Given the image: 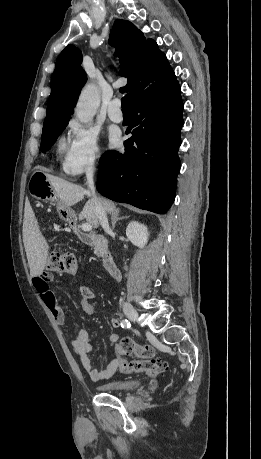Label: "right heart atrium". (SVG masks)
<instances>
[{"instance_id":"obj_1","label":"right heart atrium","mask_w":261,"mask_h":459,"mask_svg":"<svg viewBox=\"0 0 261 459\" xmlns=\"http://www.w3.org/2000/svg\"><path fill=\"white\" fill-rule=\"evenodd\" d=\"M70 148L63 164L66 173L81 175L93 170L101 158L99 138L94 129L76 121L69 124Z\"/></svg>"}]
</instances>
